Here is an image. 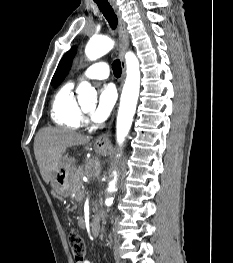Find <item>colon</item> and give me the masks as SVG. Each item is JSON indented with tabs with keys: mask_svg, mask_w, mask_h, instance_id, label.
I'll list each match as a JSON object with an SVG mask.
<instances>
[{
	"mask_svg": "<svg viewBox=\"0 0 233 263\" xmlns=\"http://www.w3.org/2000/svg\"><path fill=\"white\" fill-rule=\"evenodd\" d=\"M68 241L72 249V254L77 263H81L86 255V245L83 237L76 232H70Z\"/></svg>",
	"mask_w": 233,
	"mask_h": 263,
	"instance_id": "1",
	"label": "colon"
}]
</instances>
